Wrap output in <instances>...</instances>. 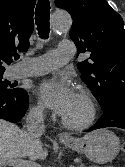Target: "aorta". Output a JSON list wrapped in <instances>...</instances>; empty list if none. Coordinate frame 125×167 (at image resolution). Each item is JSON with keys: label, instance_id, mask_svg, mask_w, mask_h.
Returning a JSON list of instances; mask_svg holds the SVG:
<instances>
[{"label": "aorta", "instance_id": "762f6f07", "mask_svg": "<svg viewBox=\"0 0 125 167\" xmlns=\"http://www.w3.org/2000/svg\"><path fill=\"white\" fill-rule=\"evenodd\" d=\"M71 24V17L66 12H56L52 16V27L55 33L67 31Z\"/></svg>", "mask_w": 125, "mask_h": 167}]
</instances>
